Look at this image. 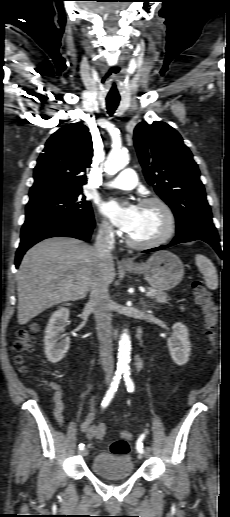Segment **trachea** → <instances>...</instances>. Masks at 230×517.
Segmentation results:
<instances>
[{
	"instance_id": "trachea-1",
	"label": "trachea",
	"mask_w": 230,
	"mask_h": 517,
	"mask_svg": "<svg viewBox=\"0 0 230 517\" xmlns=\"http://www.w3.org/2000/svg\"><path fill=\"white\" fill-rule=\"evenodd\" d=\"M119 102H120L119 96L108 95L106 97L107 112L109 113L110 116H112L114 114L115 110L117 109V107L119 105Z\"/></svg>"
}]
</instances>
